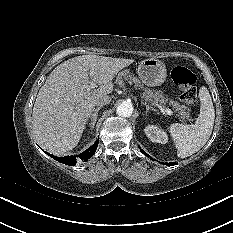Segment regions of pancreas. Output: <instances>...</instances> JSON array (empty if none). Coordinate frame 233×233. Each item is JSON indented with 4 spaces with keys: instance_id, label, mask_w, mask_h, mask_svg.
Instances as JSON below:
<instances>
[{
    "instance_id": "1",
    "label": "pancreas",
    "mask_w": 233,
    "mask_h": 233,
    "mask_svg": "<svg viewBox=\"0 0 233 233\" xmlns=\"http://www.w3.org/2000/svg\"><path fill=\"white\" fill-rule=\"evenodd\" d=\"M123 80H130L132 83H134V87L136 89H143L144 93L143 96H145L149 100H155L159 101L160 104L165 105L166 103H169V105H172L173 109L178 113V116L180 117L181 121L191 120L189 115V110H185L186 107L178 103L177 101H174L172 99L165 98L160 93H153L151 90L144 88V85L141 84L139 79H136L132 73L128 69L121 71L116 79V83H120Z\"/></svg>"
}]
</instances>
